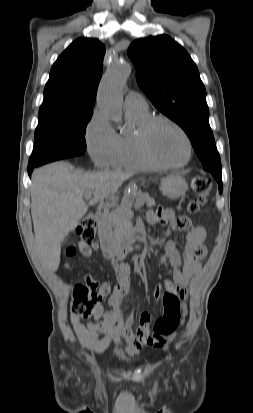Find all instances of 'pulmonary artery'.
<instances>
[{
	"label": "pulmonary artery",
	"mask_w": 253,
	"mask_h": 413,
	"mask_svg": "<svg viewBox=\"0 0 253 413\" xmlns=\"http://www.w3.org/2000/svg\"><path fill=\"white\" fill-rule=\"evenodd\" d=\"M124 106L126 110L144 112L148 105L144 97L137 92H129L125 97Z\"/></svg>",
	"instance_id": "pulmonary-artery-1"
}]
</instances>
